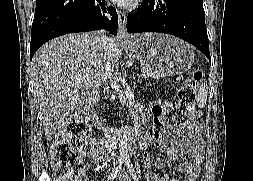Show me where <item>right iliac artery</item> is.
I'll return each mask as SVG.
<instances>
[{
  "label": "right iliac artery",
  "mask_w": 253,
  "mask_h": 181,
  "mask_svg": "<svg viewBox=\"0 0 253 181\" xmlns=\"http://www.w3.org/2000/svg\"><path fill=\"white\" fill-rule=\"evenodd\" d=\"M121 164H122V162L120 161L119 166L113 170V172L111 173V175L108 177L107 181H113V179L115 178V176H116V174L118 172V169L120 168Z\"/></svg>",
  "instance_id": "1"
}]
</instances>
